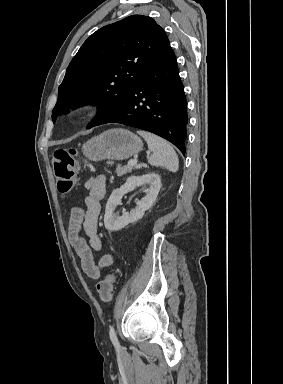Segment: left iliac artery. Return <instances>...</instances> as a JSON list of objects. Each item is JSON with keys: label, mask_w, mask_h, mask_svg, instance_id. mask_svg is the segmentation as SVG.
Wrapping results in <instances>:
<instances>
[{"label": "left iliac artery", "mask_w": 283, "mask_h": 384, "mask_svg": "<svg viewBox=\"0 0 283 384\" xmlns=\"http://www.w3.org/2000/svg\"><path fill=\"white\" fill-rule=\"evenodd\" d=\"M109 336H110V339L113 343V345L116 347V348H119L120 345H119V342H118V339H117V336H116V332H115V329L113 326L110 327V330H109Z\"/></svg>", "instance_id": "obj_1"}]
</instances>
